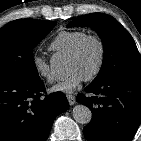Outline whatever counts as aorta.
<instances>
[{
    "mask_svg": "<svg viewBox=\"0 0 141 141\" xmlns=\"http://www.w3.org/2000/svg\"><path fill=\"white\" fill-rule=\"evenodd\" d=\"M51 71L55 74H61L64 70V65L61 61L52 59L50 62ZM74 120L80 124H88L92 118L91 110L82 104L74 106L72 110Z\"/></svg>",
    "mask_w": 141,
    "mask_h": 141,
    "instance_id": "aorta-1",
    "label": "aorta"
}]
</instances>
